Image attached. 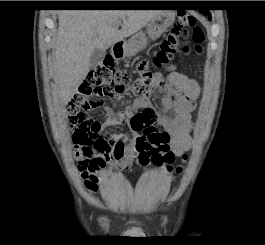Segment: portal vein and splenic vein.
<instances>
[{"label":"portal vein and splenic vein","instance_id":"1","mask_svg":"<svg viewBox=\"0 0 265 245\" xmlns=\"http://www.w3.org/2000/svg\"><path fill=\"white\" fill-rule=\"evenodd\" d=\"M116 24L117 26H121V21H118Z\"/></svg>","mask_w":265,"mask_h":245}]
</instances>
